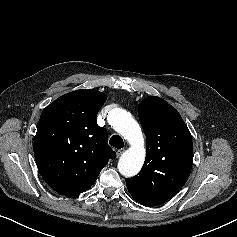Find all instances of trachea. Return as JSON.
<instances>
[{
    "label": "trachea",
    "mask_w": 237,
    "mask_h": 237,
    "mask_svg": "<svg viewBox=\"0 0 237 237\" xmlns=\"http://www.w3.org/2000/svg\"><path fill=\"white\" fill-rule=\"evenodd\" d=\"M109 144L117 149H121L124 146L123 140L119 135H113L109 140Z\"/></svg>",
    "instance_id": "3493384b"
}]
</instances>
